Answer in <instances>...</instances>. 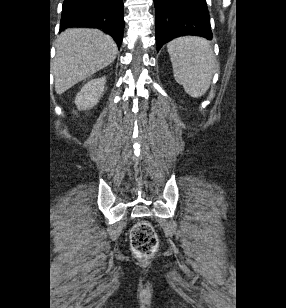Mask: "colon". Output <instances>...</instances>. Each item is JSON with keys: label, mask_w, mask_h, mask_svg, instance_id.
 Masks as SVG:
<instances>
[{"label": "colon", "mask_w": 286, "mask_h": 308, "mask_svg": "<svg viewBox=\"0 0 286 308\" xmlns=\"http://www.w3.org/2000/svg\"><path fill=\"white\" fill-rule=\"evenodd\" d=\"M130 244L138 257H151L157 250L159 240L154 227L147 221L135 224L130 232Z\"/></svg>", "instance_id": "5ec220e1"}]
</instances>
